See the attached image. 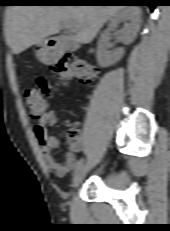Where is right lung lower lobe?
Wrapping results in <instances>:
<instances>
[{
    "instance_id": "right-lung-lower-lobe-1",
    "label": "right lung lower lobe",
    "mask_w": 170,
    "mask_h": 231,
    "mask_svg": "<svg viewBox=\"0 0 170 231\" xmlns=\"http://www.w3.org/2000/svg\"><path fill=\"white\" fill-rule=\"evenodd\" d=\"M71 1H79V2H69L70 5H92L89 2H80V1H86V0H71ZM114 1H123V0H114ZM140 5H147L150 7L151 11L154 10L155 6L157 5L156 0H141Z\"/></svg>"
}]
</instances>
